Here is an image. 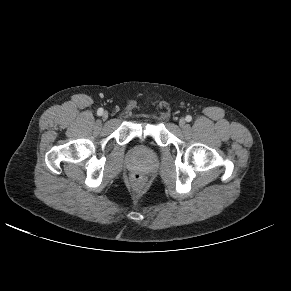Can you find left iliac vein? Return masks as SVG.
I'll list each match as a JSON object with an SVG mask.
<instances>
[{
  "instance_id": "4c4485c4",
  "label": "left iliac vein",
  "mask_w": 291,
  "mask_h": 291,
  "mask_svg": "<svg viewBox=\"0 0 291 291\" xmlns=\"http://www.w3.org/2000/svg\"><path fill=\"white\" fill-rule=\"evenodd\" d=\"M179 125L181 128H185L186 127V120L184 118H181L179 120Z\"/></svg>"
}]
</instances>
